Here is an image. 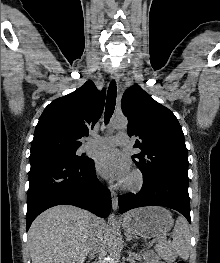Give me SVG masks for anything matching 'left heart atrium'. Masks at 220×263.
<instances>
[{
	"instance_id": "39dd6f15",
	"label": "left heart atrium",
	"mask_w": 220,
	"mask_h": 263,
	"mask_svg": "<svg viewBox=\"0 0 220 263\" xmlns=\"http://www.w3.org/2000/svg\"><path fill=\"white\" fill-rule=\"evenodd\" d=\"M96 168L103 177L124 182L129 177L130 163L118 150L106 149L96 156Z\"/></svg>"
}]
</instances>
